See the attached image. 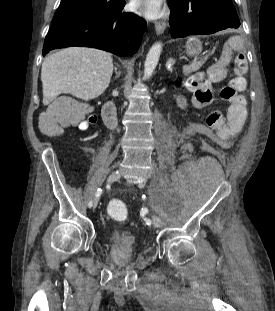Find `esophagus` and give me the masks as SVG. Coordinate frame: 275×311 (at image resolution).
<instances>
[{
	"instance_id": "34e87169",
	"label": "esophagus",
	"mask_w": 275,
	"mask_h": 311,
	"mask_svg": "<svg viewBox=\"0 0 275 311\" xmlns=\"http://www.w3.org/2000/svg\"><path fill=\"white\" fill-rule=\"evenodd\" d=\"M167 26L165 21H158L155 23V29L157 34H162Z\"/></svg>"
}]
</instances>
